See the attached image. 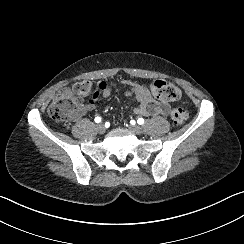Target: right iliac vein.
I'll list each match as a JSON object with an SVG mask.
<instances>
[{
  "label": "right iliac vein",
  "instance_id": "obj_1",
  "mask_svg": "<svg viewBox=\"0 0 244 244\" xmlns=\"http://www.w3.org/2000/svg\"><path fill=\"white\" fill-rule=\"evenodd\" d=\"M96 128H97L98 132L101 133V134L105 133V131H106V127L102 123L98 124L96 126Z\"/></svg>",
  "mask_w": 244,
  "mask_h": 244
}]
</instances>
